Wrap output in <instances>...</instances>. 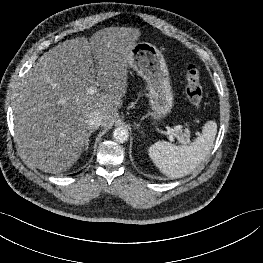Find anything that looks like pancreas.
<instances>
[{
  "label": "pancreas",
  "mask_w": 263,
  "mask_h": 263,
  "mask_svg": "<svg viewBox=\"0 0 263 263\" xmlns=\"http://www.w3.org/2000/svg\"><path fill=\"white\" fill-rule=\"evenodd\" d=\"M183 131V129L182 128H178V127H175L174 129H173V132L174 133H180V140L182 141H186V139H188V137H189V135H190V132H189V130L188 129H185L184 130V133L182 132Z\"/></svg>",
  "instance_id": "pancreas-1"
}]
</instances>
